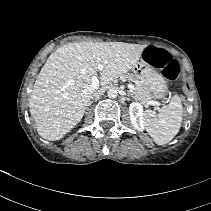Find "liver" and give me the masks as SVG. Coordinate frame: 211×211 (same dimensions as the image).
Segmentation results:
<instances>
[{
    "instance_id": "1",
    "label": "liver",
    "mask_w": 211,
    "mask_h": 211,
    "mask_svg": "<svg viewBox=\"0 0 211 211\" xmlns=\"http://www.w3.org/2000/svg\"><path fill=\"white\" fill-rule=\"evenodd\" d=\"M146 45L124 42L69 43L55 50L35 81L30 114L38 134L49 141L64 137L77 125L91 95L130 71L139 61ZM100 71V85L91 87V78Z\"/></svg>"
}]
</instances>
